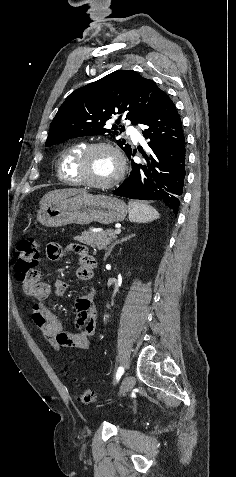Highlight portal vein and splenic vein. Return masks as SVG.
<instances>
[{"label": "portal vein and splenic vein", "instance_id": "18ae733b", "mask_svg": "<svg viewBox=\"0 0 236 477\" xmlns=\"http://www.w3.org/2000/svg\"><path fill=\"white\" fill-rule=\"evenodd\" d=\"M120 233H121V229H116V230L114 231V234H115V235H118V234H120Z\"/></svg>", "mask_w": 236, "mask_h": 477}]
</instances>
